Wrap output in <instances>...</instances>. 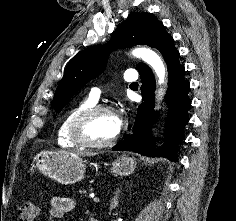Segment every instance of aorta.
Listing matches in <instances>:
<instances>
[{
  "mask_svg": "<svg viewBox=\"0 0 236 221\" xmlns=\"http://www.w3.org/2000/svg\"><path fill=\"white\" fill-rule=\"evenodd\" d=\"M132 55L141 58L144 62L150 65L154 69L158 77L159 85L164 84L166 70L163 61L161 60V58L157 53H155L149 48L141 47L134 49L132 51ZM158 93H159L158 96L160 97L163 94V90L160 89Z\"/></svg>",
  "mask_w": 236,
  "mask_h": 221,
  "instance_id": "aorta-1",
  "label": "aorta"
}]
</instances>
